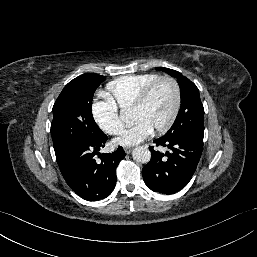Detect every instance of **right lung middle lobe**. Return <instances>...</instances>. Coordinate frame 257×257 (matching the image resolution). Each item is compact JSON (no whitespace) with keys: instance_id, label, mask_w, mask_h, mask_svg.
Listing matches in <instances>:
<instances>
[{"instance_id":"obj_1","label":"right lung middle lobe","mask_w":257,"mask_h":257,"mask_svg":"<svg viewBox=\"0 0 257 257\" xmlns=\"http://www.w3.org/2000/svg\"><path fill=\"white\" fill-rule=\"evenodd\" d=\"M105 79L86 73L64 87L52 109L51 135L55 153L71 144L95 143L104 137L92 115V99Z\"/></svg>"}]
</instances>
